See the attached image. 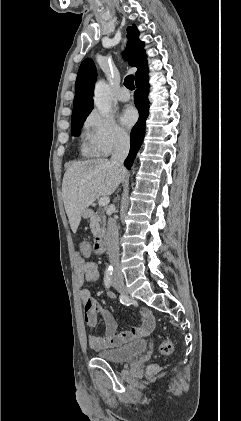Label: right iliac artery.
Instances as JSON below:
<instances>
[{
	"instance_id": "1",
	"label": "right iliac artery",
	"mask_w": 241,
	"mask_h": 421,
	"mask_svg": "<svg viewBox=\"0 0 241 421\" xmlns=\"http://www.w3.org/2000/svg\"><path fill=\"white\" fill-rule=\"evenodd\" d=\"M111 277H112V272L109 269L105 272V276H104V284L107 288H109L111 285ZM120 302L126 306H129L131 304L130 298L127 297L126 295H120Z\"/></svg>"
}]
</instances>
